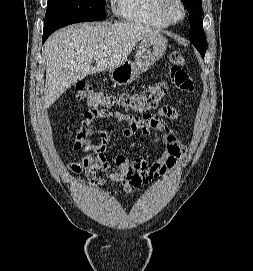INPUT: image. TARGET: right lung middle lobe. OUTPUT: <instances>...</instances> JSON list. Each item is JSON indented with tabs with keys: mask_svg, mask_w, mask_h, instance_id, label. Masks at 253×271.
Masks as SVG:
<instances>
[{
	"mask_svg": "<svg viewBox=\"0 0 253 271\" xmlns=\"http://www.w3.org/2000/svg\"><path fill=\"white\" fill-rule=\"evenodd\" d=\"M105 0H48L44 33L72 23L105 19Z\"/></svg>",
	"mask_w": 253,
	"mask_h": 271,
	"instance_id": "1",
	"label": "right lung middle lobe"
}]
</instances>
